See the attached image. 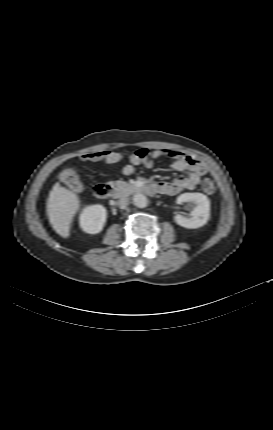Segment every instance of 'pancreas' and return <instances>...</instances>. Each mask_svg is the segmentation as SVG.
<instances>
[{
	"label": "pancreas",
	"instance_id": "cf45deb5",
	"mask_svg": "<svg viewBox=\"0 0 273 430\" xmlns=\"http://www.w3.org/2000/svg\"><path fill=\"white\" fill-rule=\"evenodd\" d=\"M113 184V186L115 187V198H119V197H123V196H128L132 193L134 187L124 181H115V182H111Z\"/></svg>",
	"mask_w": 273,
	"mask_h": 430
}]
</instances>
